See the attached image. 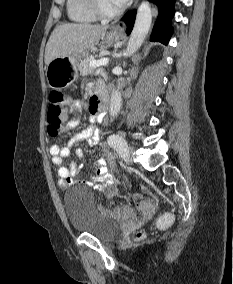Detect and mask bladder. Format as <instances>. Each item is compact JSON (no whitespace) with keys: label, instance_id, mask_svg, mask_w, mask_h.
Returning <instances> with one entry per match:
<instances>
[{"label":"bladder","instance_id":"1","mask_svg":"<svg viewBox=\"0 0 233 284\" xmlns=\"http://www.w3.org/2000/svg\"><path fill=\"white\" fill-rule=\"evenodd\" d=\"M64 207L75 232L92 235L101 241H110L120 232L119 224L99 207L93 192L86 187L69 189L64 196Z\"/></svg>","mask_w":233,"mask_h":284}]
</instances>
